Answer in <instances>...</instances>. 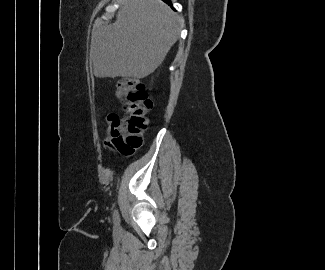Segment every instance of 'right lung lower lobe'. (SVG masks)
Instances as JSON below:
<instances>
[{"label": "right lung lower lobe", "instance_id": "right-lung-lower-lobe-1", "mask_svg": "<svg viewBox=\"0 0 325 270\" xmlns=\"http://www.w3.org/2000/svg\"><path fill=\"white\" fill-rule=\"evenodd\" d=\"M164 2L168 3L169 5L171 4L170 3V0H163Z\"/></svg>", "mask_w": 325, "mask_h": 270}]
</instances>
